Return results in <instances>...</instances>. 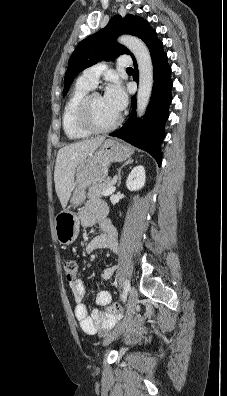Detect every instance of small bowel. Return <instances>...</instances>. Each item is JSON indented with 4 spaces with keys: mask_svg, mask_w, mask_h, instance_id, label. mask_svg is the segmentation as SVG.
Listing matches in <instances>:
<instances>
[{
    "mask_svg": "<svg viewBox=\"0 0 227 396\" xmlns=\"http://www.w3.org/2000/svg\"><path fill=\"white\" fill-rule=\"evenodd\" d=\"M79 218L84 227H92L98 224L102 232L93 237L86 246V251L92 253L96 250L117 251L118 241L117 232L114 226L107 218V209L105 204L99 200H92L80 211ZM115 271V267H107L102 272V280L111 279ZM73 299L75 301L74 314L80 323L82 330L89 334L105 335L112 328L117 326L122 315L120 312L111 313L107 310L96 308L91 312L85 302L87 290L81 279H76L69 285ZM95 302L98 306H108L112 302V295L107 290H100L95 295ZM147 330L141 319H137L128 329L127 339L129 341H137L141 339Z\"/></svg>",
    "mask_w": 227,
    "mask_h": 396,
    "instance_id": "1",
    "label": "small bowel"
}]
</instances>
